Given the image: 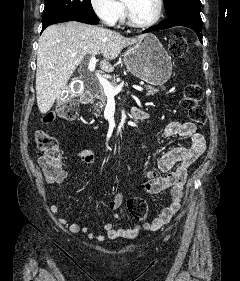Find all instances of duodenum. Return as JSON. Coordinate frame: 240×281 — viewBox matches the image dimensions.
Listing matches in <instances>:
<instances>
[{"label":"duodenum","mask_w":240,"mask_h":281,"mask_svg":"<svg viewBox=\"0 0 240 281\" xmlns=\"http://www.w3.org/2000/svg\"><path fill=\"white\" fill-rule=\"evenodd\" d=\"M92 99H93L92 94L90 92H86L81 97V103L84 105L89 104L92 101ZM130 117L135 120L142 119L143 118L142 111L138 108H133L130 111Z\"/></svg>","instance_id":"1"}]
</instances>
